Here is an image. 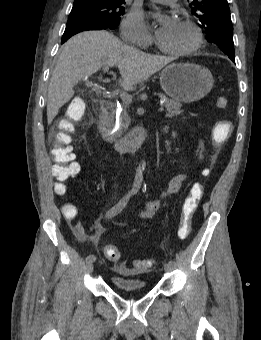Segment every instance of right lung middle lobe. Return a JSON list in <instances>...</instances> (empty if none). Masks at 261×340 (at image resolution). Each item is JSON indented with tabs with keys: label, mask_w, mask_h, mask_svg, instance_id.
Returning a JSON list of instances; mask_svg holds the SVG:
<instances>
[{
	"label": "right lung middle lobe",
	"mask_w": 261,
	"mask_h": 340,
	"mask_svg": "<svg viewBox=\"0 0 261 340\" xmlns=\"http://www.w3.org/2000/svg\"><path fill=\"white\" fill-rule=\"evenodd\" d=\"M125 1H80L74 2L68 19L85 17L99 24L114 29L124 14Z\"/></svg>",
	"instance_id": "obj_1"
}]
</instances>
